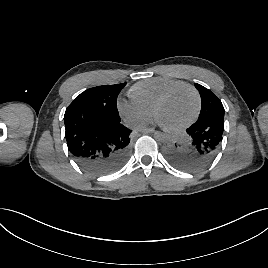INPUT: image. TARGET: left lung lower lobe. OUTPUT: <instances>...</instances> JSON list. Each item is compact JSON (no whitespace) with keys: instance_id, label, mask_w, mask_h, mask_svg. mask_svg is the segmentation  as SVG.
<instances>
[{"instance_id":"1","label":"left lung lower lobe","mask_w":268,"mask_h":268,"mask_svg":"<svg viewBox=\"0 0 268 268\" xmlns=\"http://www.w3.org/2000/svg\"><path fill=\"white\" fill-rule=\"evenodd\" d=\"M224 131L222 117L199 120L186 129V133L169 143L165 154L176 167L186 171H198L207 167L218 154Z\"/></svg>"}]
</instances>
